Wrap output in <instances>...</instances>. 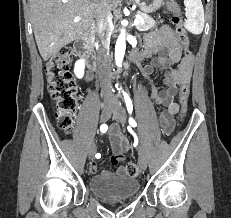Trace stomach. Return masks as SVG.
<instances>
[{
  "instance_id": "0dacf381",
  "label": "stomach",
  "mask_w": 231,
  "mask_h": 218,
  "mask_svg": "<svg viewBox=\"0 0 231 218\" xmlns=\"http://www.w3.org/2000/svg\"><path fill=\"white\" fill-rule=\"evenodd\" d=\"M139 6L144 13H153L157 11L163 4L164 0H132Z\"/></svg>"
}]
</instances>
